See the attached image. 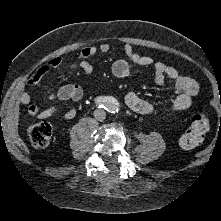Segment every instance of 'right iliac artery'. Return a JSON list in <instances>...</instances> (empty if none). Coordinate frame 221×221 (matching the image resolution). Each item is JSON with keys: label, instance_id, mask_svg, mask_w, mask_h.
<instances>
[{"label": "right iliac artery", "instance_id": "right-iliac-artery-1", "mask_svg": "<svg viewBox=\"0 0 221 221\" xmlns=\"http://www.w3.org/2000/svg\"><path fill=\"white\" fill-rule=\"evenodd\" d=\"M110 100L108 97H104V96H99L95 99V103L96 106H98V108H104L106 109V107L110 106Z\"/></svg>", "mask_w": 221, "mask_h": 221}]
</instances>
